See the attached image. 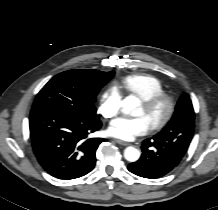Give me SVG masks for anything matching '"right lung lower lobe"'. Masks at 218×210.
<instances>
[{"label": "right lung lower lobe", "instance_id": "right-lung-lower-lobe-1", "mask_svg": "<svg viewBox=\"0 0 218 210\" xmlns=\"http://www.w3.org/2000/svg\"><path fill=\"white\" fill-rule=\"evenodd\" d=\"M101 128L98 116L87 117L59 107H39L30 113V137L35 156L50 175L75 179L96 163L102 138L88 135Z\"/></svg>", "mask_w": 218, "mask_h": 210}]
</instances>
